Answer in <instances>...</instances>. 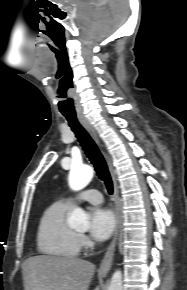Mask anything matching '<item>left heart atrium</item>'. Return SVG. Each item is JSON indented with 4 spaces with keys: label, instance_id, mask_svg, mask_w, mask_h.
Listing matches in <instances>:
<instances>
[{
    "label": "left heart atrium",
    "instance_id": "left-heart-atrium-1",
    "mask_svg": "<svg viewBox=\"0 0 187 290\" xmlns=\"http://www.w3.org/2000/svg\"><path fill=\"white\" fill-rule=\"evenodd\" d=\"M116 228L113 212L106 208H95L90 217V233L96 240L103 241L111 236Z\"/></svg>",
    "mask_w": 187,
    "mask_h": 290
}]
</instances>
